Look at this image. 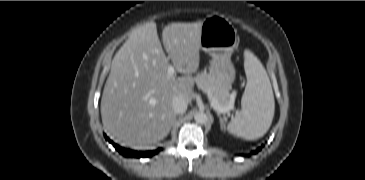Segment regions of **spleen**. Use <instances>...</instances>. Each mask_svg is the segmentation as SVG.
<instances>
[{
	"label": "spleen",
	"instance_id": "obj_1",
	"mask_svg": "<svg viewBox=\"0 0 365 180\" xmlns=\"http://www.w3.org/2000/svg\"><path fill=\"white\" fill-rule=\"evenodd\" d=\"M244 69L247 84L241 99V111L227 126L229 133L247 140L262 137L270 128L275 102L268 74L260 60L245 51Z\"/></svg>",
	"mask_w": 365,
	"mask_h": 180
}]
</instances>
